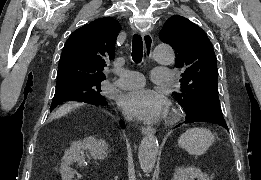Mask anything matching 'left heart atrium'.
Here are the masks:
<instances>
[{"label": "left heart atrium", "mask_w": 261, "mask_h": 180, "mask_svg": "<svg viewBox=\"0 0 261 180\" xmlns=\"http://www.w3.org/2000/svg\"><path fill=\"white\" fill-rule=\"evenodd\" d=\"M123 111L142 120L158 117L167 105L166 96L159 90L139 88L119 95Z\"/></svg>", "instance_id": "1"}]
</instances>
